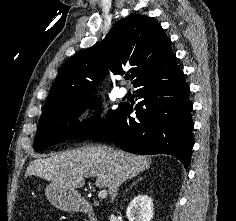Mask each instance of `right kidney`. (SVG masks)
Listing matches in <instances>:
<instances>
[{"label": "right kidney", "mask_w": 236, "mask_h": 221, "mask_svg": "<svg viewBox=\"0 0 236 221\" xmlns=\"http://www.w3.org/2000/svg\"><path fill=\"white\" fill-rule=\"evenodd\" d=\"M126 216L129 221H151L153 202L147 195H138L129 203Z\"/></svg>", "instance_id": "right-kidney-1"}]
</instances>
